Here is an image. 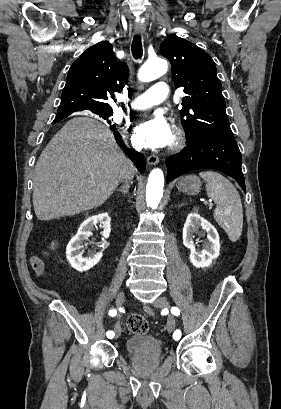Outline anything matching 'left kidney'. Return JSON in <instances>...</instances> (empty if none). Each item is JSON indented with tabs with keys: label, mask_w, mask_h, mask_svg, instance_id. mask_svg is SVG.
Wrapping results in <instances>:
<instances>
[{
	"label": "left kidney",
	"mask_w": 281,
	"mask_h": 409,
	"mask_svg": "<svg viewBox=\"0 0 281 409\" xmlns=\"http://www.w3.org/2000/svg\"><path fill=\"white\" fill-rule=\"evenodd\" d=\"M198 227H202L207 233V243L204 245V249H196L193 241L195 231H198ZM183 245L190 249V263L194 267H209L213 259H217L220 255V243L219 235L206 219L200 217L197 209H193L192 213H189L186 223L183 227Z\"/></svg>",
	"instance_id": "1"
}]
</instances>
